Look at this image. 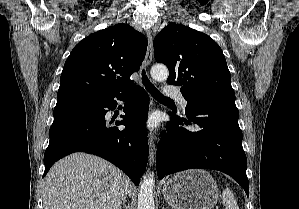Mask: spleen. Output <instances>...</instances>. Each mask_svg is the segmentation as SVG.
I'll return each mask as SVG.
<instances>
[{
  "mask_svg": "<svg viewBox=\"0 0 299 209\" xmlns=\"http://www.w3.org/2000/svg\"><path fill=\"white\" fill-rule=\"evenodd\" d=\"M222 200L225 206V209H239L234 195L229 188L223 190Z\"/></svg>",
  "mask_w": 299,
  "mask_h": 209,
  "instance_id": "1",
  "label": "spleen"
}]
</instances>
